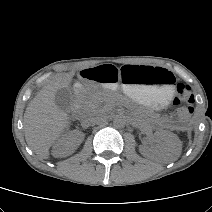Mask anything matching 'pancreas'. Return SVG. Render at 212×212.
<instances>
[{"label": "pancreas", "instance_id": "obj_1", "mask_svg": "<svg viewBox=\"0 0 212 212\" xmlns=\"http://www.w3.org/2000/svg\"><path fill=\"white\" fill-rule=\"evenodd\" d=\"M101 102H105L104 105V109H108L112 106L118 105L120 102L119 100L116 99L115 96H103L98 92H91L88 95L81 97L80 98V104H81V108L83 110H88L90 108L95 107L96 105H98ZM141 111L138 112V114H140ZM144 115H139V118H143Z\"/></svg>", "mask_w": 212, "mask_h": 212}]
</instances>
